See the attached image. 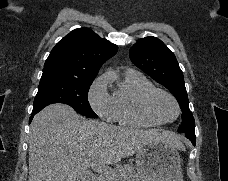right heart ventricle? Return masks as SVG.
Segmentation results:
<instances>
[{
  "instance_id": "1",
  "label": "right heart ventricle",
  "mask_w": 228,
  "mask_h": 181,
  "mask_svg": "<svg viewBox=\"0 0 228 181\" xmlns=\"http://www.w3.org/2000/svg\"><path fill=\"white\" fill-rule=\"evenodd\" d=\"M115 84L112 94L113 119L123 124L149 126L153 122L145 119L139 110L142 94L153 88L144 75L132 71L112 70L105 85Z\"/></svg>"
}]
</instances>
